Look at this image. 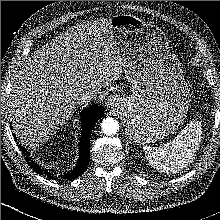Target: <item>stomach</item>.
<instances>
[{"label": "stomach", "mask_w": 220, "mask_h": 220, "mask_svg": "<svg viewBox=\"0 0 220 220\" xmlns=\"http://www.w3.org/2000/svg\"><path fill=\"white\" fill-rule=\"evenodd\" d=\"M111 28L124 57L132 94L122 99L126 131L137 145L154 143L183 123L190 92L181 64L168 53L164 32L142 19L118 14Z\"/></svg>", "instance_id": "0dacf381"}]
</instances>
